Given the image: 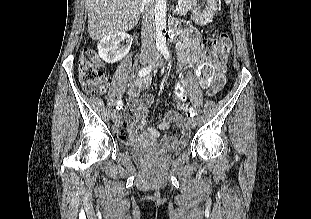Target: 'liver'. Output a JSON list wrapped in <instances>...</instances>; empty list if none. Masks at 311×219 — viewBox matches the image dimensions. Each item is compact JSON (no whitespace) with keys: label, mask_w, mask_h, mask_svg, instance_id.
Instances as JSON below:
<instances>
[{"label":"liver","mask_w":311,"mask_h":219,"mask_svg":"<svg viewBox=\"0 0 311 219\" xmlns=\"http://www.w3.org/2000/svg\"><path fill=\"white\" fill-rule=\"evenodd\" d=\"M88 31L93 40L132 29L139 19L141 0H85Z\"/></svg>","instance_id":"liver-1"}]
</instances>
